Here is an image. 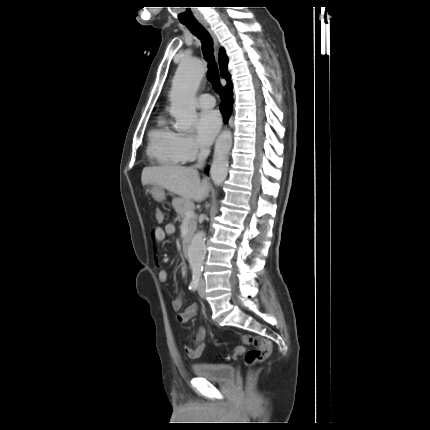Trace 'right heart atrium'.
I'll return each instance as SVG.
<instances>
[{
  "instance_id": "obj_1",
  "label": "right heart atrium",
  "mask_w": 430,
  "mask_h": 430,
  "mask_svg": "<svg viewBox=\"0 0 430 430\" xmlns=\"http://www.w3.org/2000/svg\"><path fill=\"white\" fill-rule=\"evenodd\" d=\"M177 145L185 161H191L206 152L190 135L179 134Z\"/></svg>"
}]
</instances>
